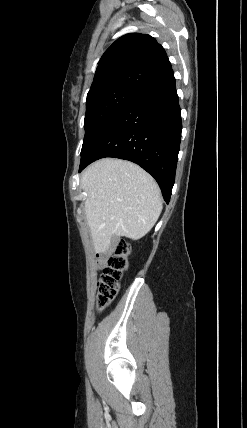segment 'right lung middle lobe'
<instances>
[{"label":"right lung middle lobe","instance_id":"right-lung-middle-lobe-1","mask_svg":"<svg viewBox=\"0 0 247 428\" xmlns=\"http://www.w3.org/2000/svg\"><path fill=\"white\" fill-rule=\"evenodd\" d=\"M139 93L137 90L115 87L87 95L84 120L85 137L81 156L106 124Z\"/></svg>","mask_w":247,"mask_h":428}]
</instances>
